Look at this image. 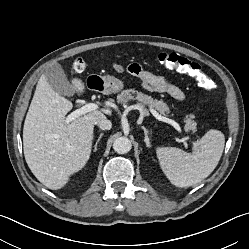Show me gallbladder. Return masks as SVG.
Wrapping results in <instances>:
<instances>
[{
    "label": "gallbladder",
    "mask_w": 249,
    "mask_h": 249,
    "mask_svg": "<svg viewBox=\"0 0 249 249\" xmlns=\"http://www.w3.org/2000/svg\"><path fill=\"white\" fill-rule=\"evenodd\" d=\"M44 76L46 77L49 85L59 95L72 96L75 93L72 84L68 81L64 70L59 64L56 63L48 67L44 72Z\"/></svg>",
    "instance_id": "gallbladder-1"
}]
</instances>
